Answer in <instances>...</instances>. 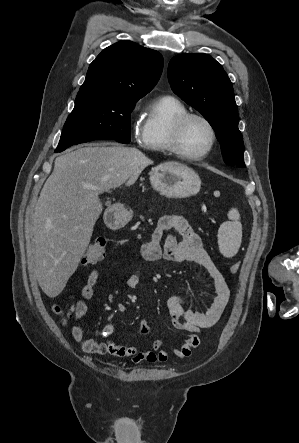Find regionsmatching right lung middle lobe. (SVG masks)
Segmentation results:
<instances>
[{
    "label": "right lung middle lobe",
    "mask_w": 299,
    "mask_h": 443,
    "mask_svg": "<svg viewBox=\"0 0 299 443\" xmlns=\"http://www.w3.org/2000/svg\"><path fill=\"white\" fill-rule=\"evenodd\" d=\"M138 100L99 93L77 94L56 152L98 139L130 142V114Z\"/></svg>",
    "instance_id": "dd1d6c3e"
}]
</instances>
